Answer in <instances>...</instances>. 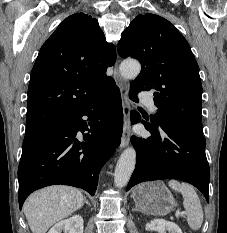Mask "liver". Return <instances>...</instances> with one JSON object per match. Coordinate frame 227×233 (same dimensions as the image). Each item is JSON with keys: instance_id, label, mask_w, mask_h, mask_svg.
<instances>
[{"instance_id": "liver-1", "label": "liver", "mask_w": 227, "mask_h": 233, "mask_svg": "<svg viewBox=\"0 0 227 233\" xmlns=\"http://www.w3.org/2000/svg\"><path fill=\"white\" fill-rule=\"evenodd\" d=\"M84 200L76 188L50 186L30 195L23 210L32 233H46L51 226L80 209Z\"/></svg>"}]
</instances>
